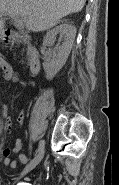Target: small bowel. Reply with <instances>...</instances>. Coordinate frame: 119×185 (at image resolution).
Wrapping results in <instances>:
<instances>
[{
	"label": "small bowel",
	"instance_id": "small-bowel-1",
	"mask_svg": "<svg viewBox=\"0 0 119 185\" xmlns=\"http://www.w3.org/2000/svg\"><path fill=\"white\" fill-rule=\"evenodd\" d=\"M0 68L3 73L4 79L6 81H10V82L21 84V85L25 84V82L23 80H21L18 75H16L14 73L12 65L3 58L0 59ZM2 114L4 117V130L6 132H10L13 127V120H12L11 116L9 115L8 107L6 105L3 106V108H2ZM16 122L19 125L23 124V122H24V113L23 112H21L17 116ZM22 149H23V143L20 139L16 140L15 146L12 149H4L3 150L4 165L6 167H9L12 169L17 168V162L11 158L12 153L18 154V159L21 163H23V164L27 163L28 158L24 153L21 152Z\"/></svg>",
	"mask_w": 119,
	"mask_h": 185
}]
</instances>
